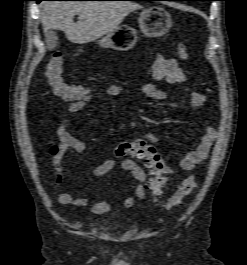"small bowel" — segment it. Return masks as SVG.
<instances>
[{
	"mask_svg": "<svg viewBox=\"0 0 247 265\" xmlns=\"http://www.w3.org/2000/svg\"><path fill=\"white\" fill-rule=\"evenodd\" d=\"M152 75L157 81H165L169 84H182L188 81V76L179 67V64L174 58H165L158 55L152 65ZM141 92L148 98L163 101L166 98L164 91L160 90L152 83L142 84L140 87ZM125 91V87L122 85L112 84L106 87L104 94L107 97H116L121 95ZM188 101L194 107H203L207 102V97L204 94L190 91L188 94ZM85 102H72L68 107L69 113H77L86 107ZM69 120L63 119L57 129L58 143L52 141L49 148V153L53 158L55 166V184L59 185L62 182L63 176L59 166L60 162L64 158L68 150L81 153L86 149V143L76 136H74L68 130ZM216 130L208 126L206 132L201 137L196 147L187 152L180 161V168L183 171H191L198 164L203 162L209 155V152L216 140ZM137 141H143L150 144H156L160 142L159 136L151 131L142 133L141 139ZM117 165V162L113 158L106 159L99 165H97L92 174L96 177H101L111 172ZM121 168L128 172L135 180L134 194L139 200H143L146 196L147 183L149 177L147 173L132 159H126L122 161ZM58 201L63 205H72L76 207H84L91 203L90 197L76 198L70 192H64L59 194ZM135 198L133 195H129L125 198L123 205L126 208H130L134 205ZM110 210V204L107 201L101 200L93 203L90 207L92 214L100 215L107 213Z\"/></svg>",
	"mask_w": 247,
	"mask_h": 265,
	"instance_id": "c3829d8e",
	"label": "small bowel"
}]
</instances>
